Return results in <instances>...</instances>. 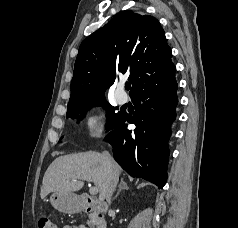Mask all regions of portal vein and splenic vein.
<instances>
[{
    "mask_svg": "<svg viewBox=\"0 0 238 228\" xmlns=\"http://www.w3.org/2000/svg\"><path fill=\"white\" fill-rule=\"evenodd\" d=\"M83 180L90 181L89 177H83ZM89 192L91 195H96L98 193V189L96 187H90Z\"/></svg>",
    "mask_w": 238,
    "mask_h": 228,
    "instance_id": "18ae733b",
    "label": "portal vein and splenic vein"
}]
</instances>
